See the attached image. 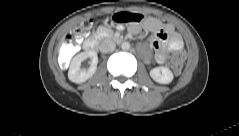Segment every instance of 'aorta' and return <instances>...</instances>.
Returning a JSON list of instances; mask_svg holds the SVG:
<instances>
[{
	"label": "aorta",
	"instance_id": "1",
	"mask_svg": "<svg viewBox=\"0 0 239 136\" xmlns=\"http://www.w3.org/2000/svg\"><path fill=\"white\" fill-rule=\"evenodd\" d=\"M121 48L123 50H128V49H130V44L128 42H123L121 45Z\"/></svg>",
	"mask_w": 239,
	"mask_h": 136
}]
</instances>
